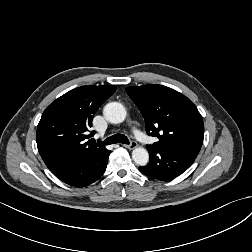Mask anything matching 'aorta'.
Here are the masks:
<instances>
[{
	"label": "aorta",
	"instance_id": "762f6f07",
	"mask_svg": "<svg viewBox=\"0 0 252 252\" xmlns=\"http://www.w3.org/2000/svg\"><path fill=\"white\" fill-rule=\"evenodd\" d=\"M105 119L113 124L122 123L126 118L125 107L118 102H110L103 109ZM132 159L139 166H145L149 162V154L145 148L137 147L132 151Z\"/></svg>",
	"mask_w": 252,
	"mask_h": 252
}]
</instances>
